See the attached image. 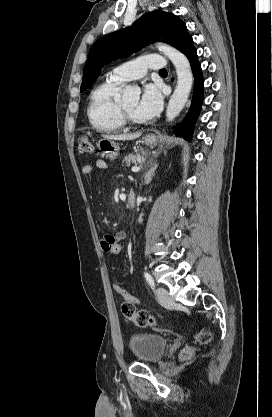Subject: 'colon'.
Masks as SVG:
<instances>
[{"mask_svg":"<svg viewBox=\"0 0 272 417\" xmlns=\"http://www.w3.org/2000/svg\"><path fill=\"white\" fill-rule=\"evenodd\" d=\"M78 152L82 155H92L95 152V147L87 136H82L78 141ZM124 250V239H114L107 246V252L111 256H119ZM114 290L123 299L121 310L123 315L132 320L140 327H148L155 324V318L145 310H137L139 301L128 293L122 286L115 283ZM211 339V333L208 331H201L197 334V340L205 343ZM192 355L191 349H186L183 356L188 358Z\"/></svg>","mask_w":272,"mask_h":417,"instance_id":"obj_1","label":"colon"}]
</instances>
